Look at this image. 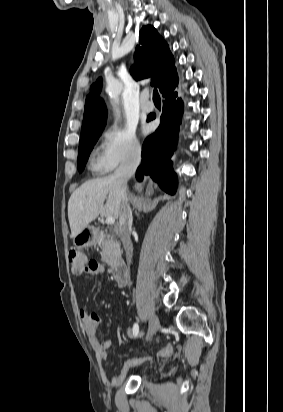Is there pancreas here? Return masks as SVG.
I'll use <instances>...</instances> for the list:
<instances>
[{
    "label": "pancreas",
    "mask_w": 283,
    "mask_h": 412,
    "mask_svg": "<svg viewBox=\"0 0 283 412\" xmlns=\"http://www.w3.org/2000/svg\"><path fill=\"white\" fill-rule=\"evenodd\" d=\"M98 243L102 245V259L108 265H115L119 259L120 244L115 240L113 235L104 234L103 232L99 233Z\"/></svg>",
    "instance_id": "obj_1"
}]
</instances>
